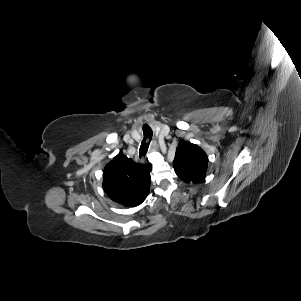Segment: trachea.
I'll return each instance as SVG.
<instances>
[{
    "label": "trachea",
    "instance_id": "1",
    "mask_svg": "<svg viewBox=\"0 0 301 301\" xmlns=\"http://www.w3.org/2000/svg\"><path fill=\"white\" fill-rule=\"evenodd\" d=\"M152 130L149 126H145L144 129V140L141 143L140 149H139V155L140 157H145L147 151H148V146H149V142L146 143V139H150L152 138Z\"/></svg>",
    "mask_w": 301,
    "mask_h": 301
}]
</instances>
